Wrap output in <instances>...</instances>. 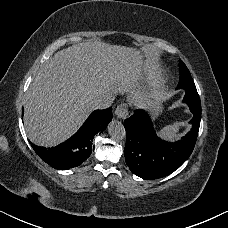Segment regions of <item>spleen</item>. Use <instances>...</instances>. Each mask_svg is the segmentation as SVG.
<instances>
[{
    "mask_svg": "<svg viewBox=\"0 0 228 228\" xmlns=\"http://www.w3.org/2000/svg\"><path fill=\"white\" fill-rule=\"evenodd\" d=\"M180 126V122H174L171 125L163 127L158 134L163 139L173 140L177 137V133L179 132Z\"/></svg>",
    "mask_w": 228,
    "mask_h": 228,
    "instance_id": "3e777b00",
    "label": "spleen"
}]
</instances>
